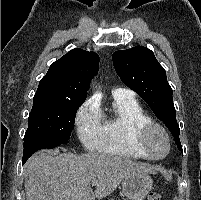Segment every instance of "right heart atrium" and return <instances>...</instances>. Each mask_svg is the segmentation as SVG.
<instances>
[{
    "instance_id": "obj_1",
    "label": "right heart atrium",
    "mask_w": 201,
    "mask_h": 200,
    "mask_svg": "<svg viewBox=\"0 0 201 200\" xmlns=\"http://www.w3.org/2000/svg\"><path fill=\"white\" fill-rule=\"evenodd\" d=\"M75 125L78 137L88 149H97L100 142V112L92 101L85 102L78 110Z\"/></svg>"
}]
</instances>
